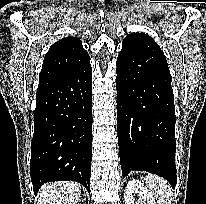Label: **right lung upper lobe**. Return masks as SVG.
<instances>
[{
	"label": "right lung upper lobe",
	"instance_id": "cb5924a9",
	"mask_svg": "<svg viewBox=\"0 0 206 204\" xmlns=\"http://www.w3.org/2000/svg\"><path fill=\"white\" fill-rule=\"evenodd\" d=\"M90 57L76 37H68L54 43L47 52L39 80L67 72L83 64Z\"/></svg>",
	"mask_w": 206,
	"mask_h": 204
}]
</instances>
